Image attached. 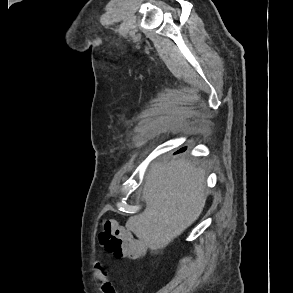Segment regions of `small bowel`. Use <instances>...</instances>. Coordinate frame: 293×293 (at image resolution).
<instances>
[{
    "label": "small bowel",
    "mask_w": 293,
    "mask_h": 293,
    "mask_svg": "<svg viewBox=\"0 0 293 293\" xmlns=\"http://www.w3.org/2000/svg\"><path fill=\"white\" fill-rule=\"evenodd\" d=\"M94 276L101 282L103 293H118L109 279L107 270L101 263H96Z\"/></svg>",
    "instance_id": "1"
}]
</instances>
